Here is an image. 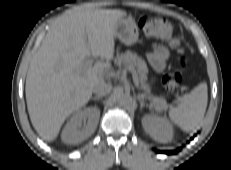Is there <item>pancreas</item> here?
<instances>
[{
	"mask_svg": "<svg viewBox=\"0 0 231 170\" xmlns=\"http://www.w3.org/2000/svg\"><path fill=\"white\" fill-rule=\"evenodd\" d=\"M115 64L121 68H135L137 72V79L141 85V89L145 90L146 94H149L150 90L146 83L148 68L145 61L140 58L136 53L126 51L125 53L117 54L115 58ZM153 103L156 106L164 107L166 105L164 100L151 97Z\"/></svg>",
	"mask_w": 231,
	"mask_h": 170,
	"instance_id": "1",
	"label": "pancreas"
}]
</instances>
